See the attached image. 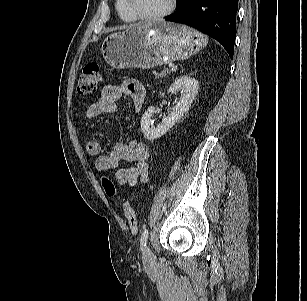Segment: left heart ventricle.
Returning <instances> with one entry per match:
<instances>
[{"mask_svg": "<svg viewBox=\"0 0 307 301\" xmlns=\"http://www.w3.org/2000/svg\"><path fill=\"white\" fill-rule=\"evenodd\" d=\"M170 0H134L138 10L145 15H152L165 10Z\"/></svg>", "mask_w": 307, "mask_h": 301, "instance_id": "1", "label": "left heart ventricle"}]
</instances>
